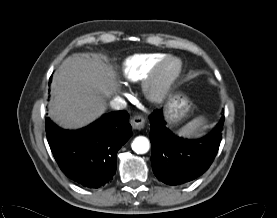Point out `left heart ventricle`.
Here are the masks:
<instances>
[{
    "instance_id": "1",
    "label": "left heart ventricle",
    "mask_w": 277,
    "mask_h": 218,
    "mask_svg": "<svg viewBox=\"0 0 277 218\" xmlns=\"http://www.w3.org/2000/svg\"><path fill=\"white\" fill-rule=\"evenodd\" d=\"M173 70V65L172 64H169L165 67L164 69V75L165 76H168Z\"/></svg>"
}]
</instances>
